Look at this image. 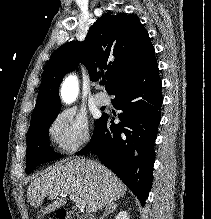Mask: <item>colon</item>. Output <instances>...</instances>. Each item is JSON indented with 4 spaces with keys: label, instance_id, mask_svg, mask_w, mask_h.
<instances>
[{
    "label": "colon",
    "instance_id": "5ec220e1",
    "mask_svg": "<svg viewBox=\"0 0 211 219\" xmlns=\"http://www.w3.org/2000/svg\"><path fill=\"white\" fill-rule=\"evenodd\" d=\"M57 219H70V213L66 210H59L56 215ZM73 219V218H72Z\"/></svg>",
    "mask_w": 211,
    "mask_h": 219
}]
</instances>
